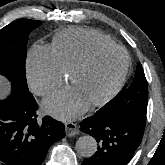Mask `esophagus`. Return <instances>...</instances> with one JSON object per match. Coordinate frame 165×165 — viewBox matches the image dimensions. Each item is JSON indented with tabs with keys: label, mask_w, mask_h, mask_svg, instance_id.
Instances as JSON below:
<instances>
[{
	"label": "esophagus",
	"mask_w": 165,
	"mask_h": 165,
	"mask_svg": "<svg viewBox=\"0 0 165 165\" xmlns=\"http://www.w3.org/2000/svg\"><path fill=\"white\" fill-rule=\"evenodd\" d=\"M65 129L68 136H74L78 133V126L73 122H66Z\"/></svg>",
	"instance_id": "1"
}]
</instances>
